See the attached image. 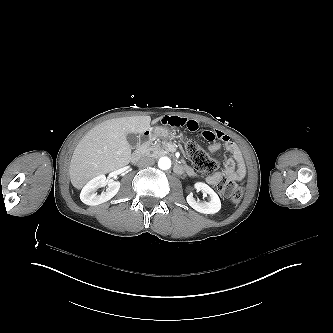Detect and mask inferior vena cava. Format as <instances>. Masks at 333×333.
I'll return each instance as SVG.
<instances>
[{
	"label": "inferior vena cava",
	"instance_id": "obj_1",
	"mask_svg": "<svg viewBox=\"0 0 333 333\" xmlns=\"http://www.w3.org/2000/svg\"><path fill=\"white\" fill-rule=\"evenodd\" d=\"M155 164V160L152 157H142L137 165L139 167H147V166H152Z\"/></svg>",
	"mask_w": 333,
	"mask_h": 333
}]
</instances>
